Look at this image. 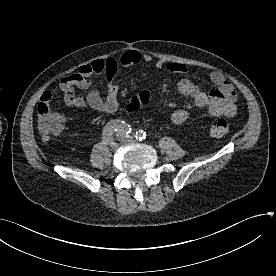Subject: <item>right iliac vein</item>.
Returning <instances> with one entry per match:
<instances>
[{
    "instance_id": "right-iliac-vein-1",
    "label": "right iliac vein",
    "mask_w": 276,
    "mask_h": 276,
    "mask_svg": "<svg viewBox=\"0 0 276 276\" xmlns=\"http://www.w3.org/2000/svg\"><path fill=\"white\" fill-rule=\"evenodd\" d=\"M109 145L111 148L115 149L117 147V142L113 138H111V140L109 141Z\"/></svg>"
}]
</instances>
